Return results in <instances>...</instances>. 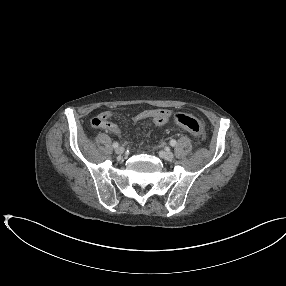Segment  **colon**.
<instances>
[{"label": "colon", "mask_w": 286, "mask_h": 286, "mask_svg": "<svg viewBox=\"0 0 286 286\" xmlns=\"http://www.w3.org/2000/svg\"><path fill=\"white\" fill-rule=\"evenodd\" d=\"M174 119L179 126L185 128L194 136L198 138L203 136V125L197 118L184 113H176Z\"/></svg>", "instance_id": "1"}]
</instances>
